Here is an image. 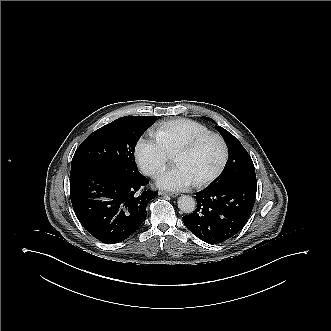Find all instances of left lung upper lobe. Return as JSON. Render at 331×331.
I'll return each instance as SVG.
<instances>
[{
	"label": "left lung upper lobe",
	"instance_id": "1",
	"mask_svg": "<svg viewBox=\"0 0 331 331\" xmlns=\"http://www.w3.org/2000/svg\"><path fill=\"white\" fill-rule=\"evenodd\" d=\"M217 130L226 142L229 150V159L215 186L225 185L234 181H244L257 185L255 168L245 148L236 137L224 128L217 126Z\"/></svg>",
	"mask_w": 331,
	"mask_h": 331
}]
</instances>
